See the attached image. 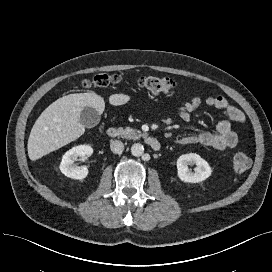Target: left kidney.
Listing matches in <instances>:
<instances>
[{"instance_id":"1","label":"left kidney","mask_w":272,"mask_h":272,"mask_svg":"<svg viewBox=\"0 0 272 272\" xmlns=\"http://www.w3.org/2000/svg\"><path fill=\"white\" fill-rule=\"evenodd\" d=\"M195 164V172H192L188 165ZM178 177L187 183H199L206 180L212 173L208 162L196 153L181 155L177 160Z\"/></svg>"}]
</instances>
